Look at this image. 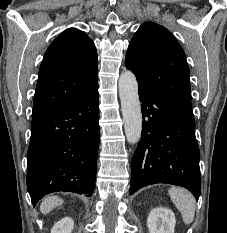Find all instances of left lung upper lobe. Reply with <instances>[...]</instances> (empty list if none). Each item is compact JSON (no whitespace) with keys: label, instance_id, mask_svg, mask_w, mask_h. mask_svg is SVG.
<instances>
[{"label":"left lung upper lobe","instance_id":"left-lung-upper-lobe-1","mask_svg":"<svg viewBox=\"0 0 227 233\" xmlns=\"http://www.w3.org/2000/svg\"><path fill=\"white\" fill-rule=\"evenodd\" d=\"M125 64L134 72L139 87L192 107L185 53L165 27L142 24L129 44Z\"/></svg>","mask_w":227,"mask_h":233}]
</instances>
